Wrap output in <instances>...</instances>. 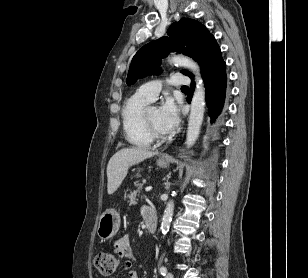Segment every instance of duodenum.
<instances>
[{"mask_svg":"<svg viewBox=\"0 0 308 278\" xmlns=\"http://www.w3.org/2000/svg\"><path fill=\"white\" fill-rule=\"evenodd\" d=\"M144 217H145V220L147 222V226H148L149 231L153 234L156 233V231H157V217H156L155 212H153V211L147 212V213H145Z\"/></svg>","mask_w":308,"mask_h":278,"instance_id":"1","label":"duodenum"}]
</instances>
